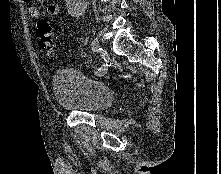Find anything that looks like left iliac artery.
<instances>
[{
  "label": "left iliac artery",
  "mask_w": 221,
  "mask_h": 174,
  "mask_svg": "<svg viewBox=\"0 0 221 174\" xmlns=\"http://www.w3.org/2000/svg\"><path fill=\"white\" fill-rule=\"evenodd\" d=\"M87 35V34H86ZM87 40V36L83 38V41ZM108 64L105 60V62H102L101 66L97 69L96 74H98L99 76L105 75L108 71Z\"/></svg>",
  "instance_id": "left-iliac-artery-1"
}]
</instances>
